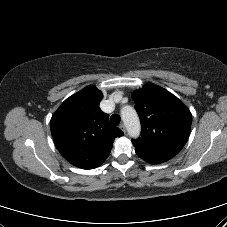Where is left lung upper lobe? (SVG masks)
Here are the masks:
<instances>
[{
    "instance_id": "left-lung-upper-lobe-1",
    "label": "left lung upper lobe",
    "mask_w": 227,
    "mask_h": 227,
    "mask_svg": "<svg viewBox=\"0 0 227 227\" xmlns=\"http://www.w3.org/2000/svg\"><path fill=\"white\" fill-rule=\"evenodd\" d=\"M141 121V136L132 140L136 154L147 162H166L185 145L191 130L189 109L157 85H145L132 95Z\"/></svg>"
}]
</instances>
